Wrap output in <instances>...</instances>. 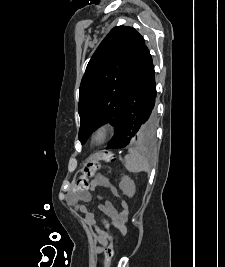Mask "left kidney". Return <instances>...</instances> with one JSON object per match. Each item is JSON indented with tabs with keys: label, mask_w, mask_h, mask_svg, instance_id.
I'll return each instance as SVG.
<instances>
[{
	"label": "left kidney",
	"mask_w": 225,
	"mask_h": 267,
	"mask_svg": "<svg viewBox=\"0 0 225 267\" xmlns=\"http://www.w3.org/2000/svg\"><path fill=\"white\" fill-rule=\"evenodd\" d=\"M119 187L122 190L123 194L130 198L135 194L136 187L134 181L131 180V178L128 176H124L122 178Z\"/></svg>",
	"instance_id": "1"
}]
</instances>
